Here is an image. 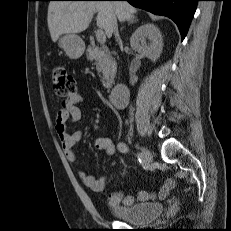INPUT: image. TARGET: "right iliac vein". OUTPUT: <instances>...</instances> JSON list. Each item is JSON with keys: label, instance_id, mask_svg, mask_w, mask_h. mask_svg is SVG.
I'll list each match as a JSON object with an SVG mask.
<instances>
[{"label": "right iliac vein", "instance_id": "63e3f726", "mask_svg": "<svg viewBox=\"0 0 231 231\" xmlns=\"http://www.w3.org/2000/svg\"><path fill=\"white\" fill-rule=\"evenodd\" d=\"M144 161L147 163V164H150L153 160V155L152 153L147 149V148H143L142 149V153H141Z\"/></svg>", "mask_w": 231, "mask_h": 231}]
</instances>
